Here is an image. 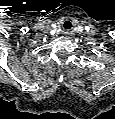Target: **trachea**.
Wrapping results in <instances>:
<instances>
[{
  "instance_id": "1",
  "label": "trachea",
  "mask_w": 115,
  "mask_h": 119,
  "mask_svg": "<svg viewBox=\"0 0 115 119\" xmlns=\"http://www.w3.org/2000/svg\"><path fill=\"white\" fill-rule=\"evenodd\" d=\"M63 29L65 31H71L73 29V24L71 22H65L63 24Z\"/></svg>"
}]
</instances>
